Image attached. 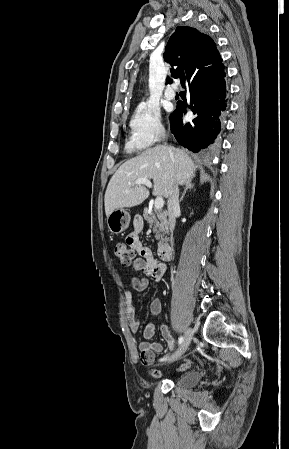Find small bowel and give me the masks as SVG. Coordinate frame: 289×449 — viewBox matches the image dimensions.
Here are the masks:
<instances>
[{
  "label": "small bowel",
  "mask_w": 289,
  "mask_h": 449,
  "mask_svg": "<svg viewBox=\"0 0 289 449\" xmlns=\"http://www.w3.org/2000/svg\"><path fill=\"white\" fill-rule=\"evenodd\" d=\"M143 229V221L141 218H135L133 221V230L127 235L126 243L136 251L140 257H137L128 265L133 270L140 272L139 277H132L129 280L130 287L138 292L144 291L151 279L154 282H159L166 271V265L159 262L153 255L150 248L143 245L140 240V233ZM124 298L126 303V316L130 330L136 333L139 330L140 322L133 306L132 293L130 289H125ZM162 311L161 300L155 298L150 303V313L153 316H158ZM156 326L153 322H149L144 330V341L138 345L141 362L150 366L154 363L157 353L162 352L163 347L159 342L154 341ZM160 333L170 348H174L175 342L166 325L160 326ZM190 362H186L181 366V370L189 368Z\"/></svg>",
  "instance_id": "c3829d8e"
}]
</instances>
